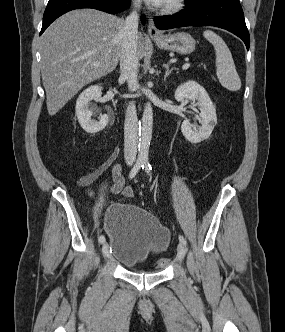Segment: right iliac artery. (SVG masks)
I'll list each match as a JSON object with an SVG mask.
<instances>
[{"instance_id":"1","label":"right iliac artery","mask_w":285,"mask_h":332,"mask_svg":"<svg viewBox=\"0 0 285 332\" xmlns=\"http://www.w3.org/2000/svg\"><path fill=\"white\" fill-rule=\"evenodd\" d=\"M144 166V162L141 161V160H137L135 165L133 166V168L131 169L130 173H129V178L132 179L135 177V175L138 173V171L143 168ZM98 241L99 243H104L105 241V237L104 235H101L99 238H98Z\"/></svg>"}]
</instances>
